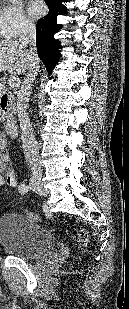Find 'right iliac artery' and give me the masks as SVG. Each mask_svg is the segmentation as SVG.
Here are the masks:
<instances>
[{"instance_id":"1","label":"right iliac artery","mask_w":129,"mask_h":309,"mask_svg":"<svg viewBox=\"0 0 129 309\" xmlns=\"http://www.w3.org/2000/svg\"><path fill=\"white\" fill-rule=\"evenodd\" d=\"M29 189H30V187H29L28 185H26V184H21V185L19 186V188H18V190H19V192H20L21 194L27 193V192L29 191Z\"/></svg>"}]
</instances>
